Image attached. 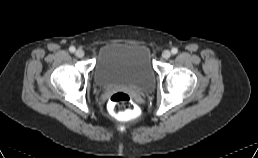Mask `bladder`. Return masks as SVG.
Here are the masks:
<instances>
[{
  "mask_svg": "<svg viewBox=\"0 0 258 158\" xmlns=\"http://www.w3.org/2000/svg\"><path fill=\"white\" fill-rule=\"evenodd\" d=\"M94 82L101 88L126 85L138 91L151 90L155 70L149 47L131 43L104 45L95 59Z\"/></svg>",
  "mask_w": 258,
  "mask_h": 158,
  "instance_id": "bladder-1",
  "label": "bladder"
}]
</instances>
